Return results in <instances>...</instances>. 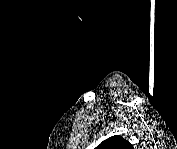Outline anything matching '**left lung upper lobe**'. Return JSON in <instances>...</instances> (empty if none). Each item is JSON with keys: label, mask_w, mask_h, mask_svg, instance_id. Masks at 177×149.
Wrapping results in <instances>:
<instances>
[{"label": "left lung upper lobe", "mask_w": 177, "mask_h": 149, "mask_svg": "<svg viewBox=\"0 0 177 149\" xmlns=\"http://www.w3.org/2000/svg\"><path fill=\"white\" fill-rule=\"evenodd\" d=\"M132 145L121 136H112L99 144L96 149H131Z\"/></svg>", "instance_id": "1"}]
</instances>
